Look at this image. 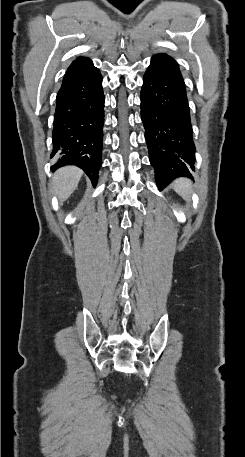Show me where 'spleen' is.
Here are the masks:
<instances>
[{
  "mask_svg": "<svg viewBox=\"0 0 245 457\" xmlns=\"http://www.w3.org/2000/svg\"><path fill=\"white\" fill-rule=\"evenodd\" d=\"M172 186L174 190H176V192L184 198V200H191V192L193 188L189 178H176Z\"/></svg>",
  "mask_w": 245,
  "mask_h": 457,
  "instance_id": "3e777b00",
  "label": "spleen"
}]
</instances>
